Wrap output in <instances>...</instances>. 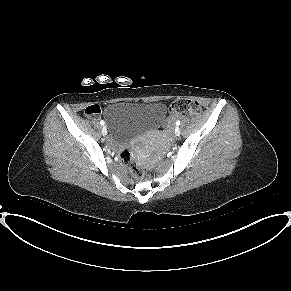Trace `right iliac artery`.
<instances>
[{"mask_svg":"<svg viewBox=\"0 0 291 291\" xmlns=\"http://www.w3.org/2000/svg\"><path fill=\"white\" fill-rule=\"evenodd\" d=\"M100 124H101V125H104V121H103V120H101V121H100Z\"/></svg>","mask_w":291,"mask_h":291,"instance_id":"1","label":"right iliac artery"}]
</instances>
